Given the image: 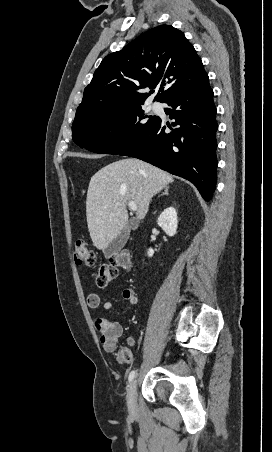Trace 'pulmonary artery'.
Masks as SVG:
<instances>
[{
	"label": "pulmonary artery",
	"instance_id": "obj_1",
	"mask_svg": "<svg viewBox=\"0 0 272 452\" xmlns=\"http://www.w3.org/2000/svg\"><path fill=\"white\" fill-rule=\"evenodd\" d=\"M153 109L157 110L159 108V105L157 103L153 104Z\"/></svg>",
	"mask_w": 272,
	"mask_h": 452
}]
</instances>
